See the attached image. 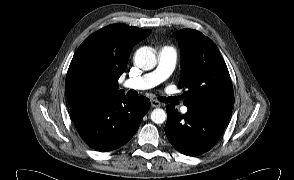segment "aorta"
Returning a JSON list of instances; mask_svg holds the SVG:
<instances>
[{"instance_id":"1","label":"aorta","mask_w":294,"mask_h":180,"mask_svg":"<svg viewBox=\"0 0 294 180\" xmlns=\"http://www.w3.org/2000/svg\"><path fill=\"white\" fill-rule=\"evenodd\" d=\"M135 65L142 70H151L156 66L157 59L154 50L150 47L139 48L134 55ZM167 118L166 112L156 108L151 112V120L156 124H162Z\"/></svg>"}]
</instances>
